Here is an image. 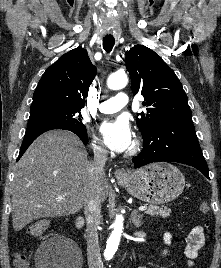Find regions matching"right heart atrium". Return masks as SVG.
Returning <instances> with one entry per match:
<instances>
[{
  "label": "right heart atrium",
  "mask_w": 221,
  "mask_h": 268,
  "mask_svg": "<svg viewBox=\"0 0 221 268\" xmlns=\"http://www.w3.org/2000/svg\"><path fill=\"white\" fill-rule=\"evenodd\" d=\"M92 148L97 155L102 156L106 153L104 147L94 136L92 137Z\"/></svg>",
  "instance_id": "obj_1"
}]
</instances>
